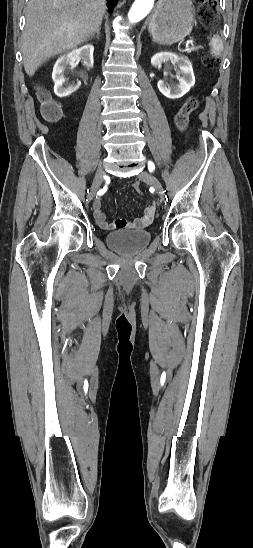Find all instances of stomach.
I'll list each match as a JSON object with an SVG mask.
<instances>
[{
    "label": "stomach",
    "mask_w": 253,
    "mask_h": 548,
    "mask_svg": "<svg viewBox=\"0 0 253 548\" xmlns=\"http://www.w3.org/2000/svg\"><path fill=\"white\" fill-rule=\"evenodd\" d=\"M194 16L191 0H160L149 21L148 30L156 43L171 45L191 32Z\"/></svg>",
    "instance_id": "1"
}]
</instances>
